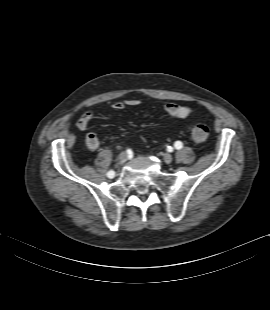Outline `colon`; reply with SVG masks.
Here are the masks:
<instances>
[{"label": "colon", "mask_w": 270, "mask_h": 310, "mask_svg": "<svg viewBox=\"0 0 270 310\" xmlns=\"http://www.w3.org/2000/svg\"><path fill=\"white\" fill-rule=\"evenodd\" d=\"M192 138L197 143H203L207 140L209 129L203 124H195L191 131Z\"/></svg>", "instance_id": "5ec220e1"}]
</instances>
